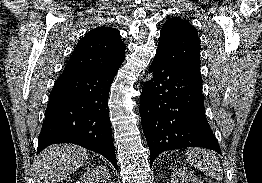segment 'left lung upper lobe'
<instances>
[{
  "label": "left lung upper lobe",
  "mask_w": 262,
  "mask_h": 183,
  "mask_svg": "<svg viewBox=\"0 0 262 183\" xmlns=\"http://www.w3.org/2000/svg\"><path fill=\"white\" fill-rule=\"evenodd\" d=\"M200 49L198 32L187 20L173 17L164 23L157 56L200 73Z\"/></svg>",
  "instance_id": "obj_1"
}]
</instances>
